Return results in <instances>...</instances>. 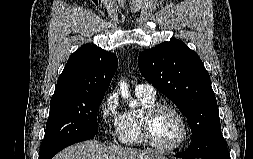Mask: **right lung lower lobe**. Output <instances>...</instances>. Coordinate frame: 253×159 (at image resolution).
<instances>
[{"label":"right lung lower lobe","instance_id":"obj_1","mask_svg":"<svg viewBox=\"0 0 253 159\" xmlns=\"http://www.w3.org/2000/svg\"><path fill=\"white\" fill-rule=\"evenodd\" d=\"M94 136H95V134H90V135L78 137L76 139H72L70 141H67L64 144L59 145L57 148H55L52 152H50L47 156H45L44 159H51L56 153H58L63 148H65V147H67L69 145H72L74 143H77V142L89 140V139L93 138Z\"/></svg>","mask_w":253,"mask_h":159}]
</instances>
